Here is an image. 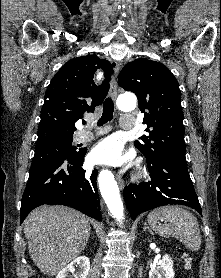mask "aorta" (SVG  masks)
Masks as SVG:
<instances>
[{"instance_id": "1", "label": "aorta", "mask_w": 221, "mask_h": 278, "mask_svg": "<svg viewBox=\"0 0 221 278\" xmlns=\"http://www.w3.org/2000/svg\"><path fill=\"white\" fill-rule=\"evenodd\" d=\"M135 103L136 101L133 97L129 99L123 97L118 106L124 111L131 110L135 106ZM98 183L101 195L112 216L122 224L124 207L114 175L109 170H102L98 177Z\"/></svg>"}]
</instances>
